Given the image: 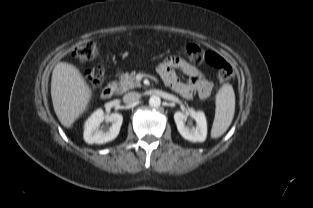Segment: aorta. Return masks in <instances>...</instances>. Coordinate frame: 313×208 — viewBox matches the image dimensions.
Here are the masks:
<instances>
[{"label": "aorta", "instance_id": "1", "mask_svg": "<svg viewBox=\"0 0 313 208\" xmlns=\"http://www.w3.org/2000/svg\"><path fill=\"white\" fill-rule=\"evenodd\" d=\"M161 104V99L158 96H151L149 99V105L152 107H159Z\"/></svg>", "mask_w": 313, "mask_h": 208}]
</instances>
